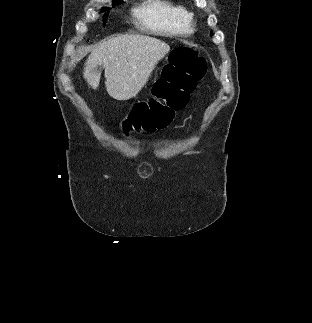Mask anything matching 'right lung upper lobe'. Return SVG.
I'll use <instances>...</instances> for the list:
<instances>
[{
  "label": "right lung upper lobe",
  "instance_id": "right-lung-upper-lobe-1",
  "mask_svg": "<svg viewBox=\"0 0 312 323\" xmlns=\"http://www.w3.org/2000/svg\"><path fill=\"white\" fill-rule=\"evenodd\" d=\"M123 0H113L114 4H121Z\"/></svg>",
  "mask_w": 312,
  "mask_h": 323
}]
</instances>
